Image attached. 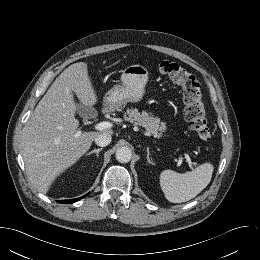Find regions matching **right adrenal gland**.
Returning <instances> with one entry per match:
<instances>
[{
    "mask_svg": "<svg viewBox=\"0 0 260 260\" xmlns=\"http://www.w3.org/2000/svg\"><path fill=\"white\" fill-rule=\"evenodd\" d=\"M102 150H103V148L94 149V150L90 151L89 153H87L86 155H90V154L95 153L96 156L98 157L99 156V152L102 151Z\"/></svg>",
    "mask_w": 260,
    "mask_h": 260,
    "instance_id": "right-adrenal-gland-1",
    "label": "right adrenal gland"
}]
</instances>
